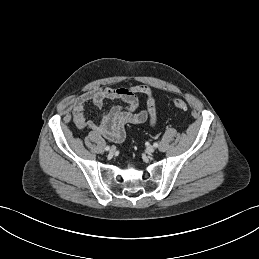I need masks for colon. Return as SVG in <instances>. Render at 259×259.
Returning a JSON list of instances; mask_svg holds the SVG:
<instances>
[{"instance_id": "colon-1", "label": "colon", "mask_w": 259, "mask_h": 259, "mask_svg": "<svg viewBox=\"0 0 259 259\" xmlns=\"http://www.w3.org/2000/svg\"><path fill=\"white\" fill-rule=\"evenodd\" d=\"M173 103H174V106H175L177 109H179V110L185 111V110H187V108H188L187 103H186L184 100H182V99H175V100L173 101Z\"/></svg>"}]
</instances>
